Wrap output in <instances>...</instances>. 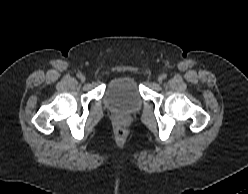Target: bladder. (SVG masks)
I'll use <instances>...</instances> for the list:
<instances>
[{
    "label": "bladder",
    "mask_w": 248,
    "mask_h": 194,
    "mask_svg": "<svg viewBox=\"0 0 248 194\" xmlns=\"http://www.w3.org/2000/svg\"><path fill=\"white\" fill-rule=\"evenodd\" d=\"M106 104L125 113L136 112L142 105L140 89L135 77L122 75L115 78L106 88Z\"/></svg>",
    "instance_id": "bladder-1"
}]
</instances>
